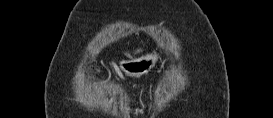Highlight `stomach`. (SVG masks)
Returning <instances> with one entry per match:
<instances>
[{
	"label": "stomach",
	"mask_w": 273,
	"mask_h": 118,
	"mask_svg": "<svg viewBox=\"0 0 273 118\" xmlns=\"http://www.w3.org/2000/svg\"><path fill=\"white\" fill-rule=\"evenodd\" d=\"M158 54H149L140 58L131 60H122L120 68L127 74L133 77H140L147 74L156 64Z\"/></svg>",
	"instance_id": "1"
}]
</instances>
